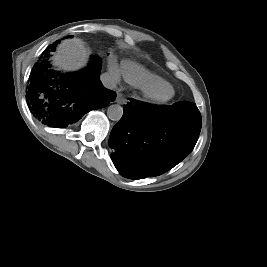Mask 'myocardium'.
I'll return each instance as SVG.
<instances>
[{
    "instance_id": "obj_1",
    "label": "myocardium",
    "mask_w": 267,
    "mask_h": 267,
    "mask_svg": "<svg viewBox=\"0 0 267 267\" xmlns=\"http://www.w3.org/2000/svg\"><path fill=\"white\" fill-rule=\"evenodd\" d=\"M174 95V88L168 83L143 87L144 98L153 104H164L170 101Z\"/></svg>"
}]
</instances>
